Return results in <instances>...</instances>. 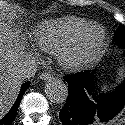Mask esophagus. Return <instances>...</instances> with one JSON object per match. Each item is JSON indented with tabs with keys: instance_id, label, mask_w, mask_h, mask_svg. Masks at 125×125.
I'll return each instance as SVG.
<instances>
[{
	"instance_id": "esophagus-1",
	"label": "esophagus",
	"mask_w": 125,
	"mask_h": 125,
	"mask_svg": "<svg viewBox=\"0 0 125 125\" xmlns=\"http://www.w3.org/2000/svg\"><path fill=\"white\" fill-rule=\"evenodd\" d=\"M51 78V75L49 73L43 72L40 74V79L42 80H48Z\"/></svg>"
}]
</instances>
